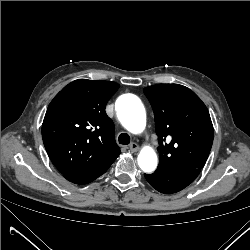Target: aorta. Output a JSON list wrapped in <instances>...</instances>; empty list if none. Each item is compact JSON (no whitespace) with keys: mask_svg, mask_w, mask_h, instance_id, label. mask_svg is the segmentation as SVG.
Masks as SVG:
<instances>
[{"mask_svg":"<svg viewBox=\"0 0 250 250\" xmlns=\"http://www.w3.org/2000/svg\"><path fill=\"white\" fill-rule=\"evenodd\" d=\"M116 110L120 113L122 125L130 132L142 131L146 125V111L140 99L132 94H125L116 101ZM138 165L146 173L157 167V155L153 148L146 146L138 155Z\"/></svg>","mask_w":250,"mask_h":250,"instance_id":"762f6f07","label":"aorta"}]
</instances>
